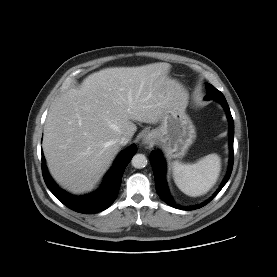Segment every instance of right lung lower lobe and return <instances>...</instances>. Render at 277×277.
<instances>
[{"label": "right lung lower lobe", "mask_w": 277, "mask_h": 277, "mask_svg": "<svg viewBox=\"0 0 277 277\" xmlns=\"http://www.w3.org/2000/svg\"><path fill=\"white\" fill-rule=\"evenodd\" d=\"M136 151V145H132L127 150L123 151L105 175L101 187L89 195L77 197L60 189L49 175L42 154L43 178L48 189L68 208L84 214L100 212L107 209L116 199L121 185L123 172L131 158L136 154Z\"/></svg>", "instance_id": "right-lung-lower-lobe-1"}]
</instances>
